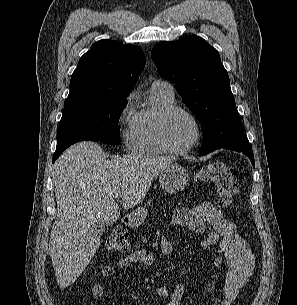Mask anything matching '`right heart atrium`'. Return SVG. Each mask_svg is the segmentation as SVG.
<instances>
[{
	"mask_svg": "<svg viewBox=\"0 0 297 305\" xmlns=\"http://www.w3.org/2000/svg\"><path fill=\"white\" fill-rule=\"evenodd\" d=\"M135 95L129 94L117 117L120 136L126 147H131V140L136 126V113L134 110Z\"/></svg>",
	"mask_w": 297,
	"mask_h": 305,
	"instance_id": "right-heart-atrium-1",
	"label": "right heart atrium"
}]
</instances>
